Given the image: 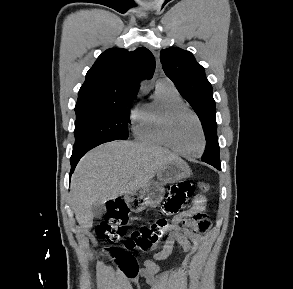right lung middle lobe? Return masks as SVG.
I'll list each match as a JSON object with an SVG mask.
<instances>
[{
    "instance_id": "obj_1",
    "label": "right lung middle lobe",
    "mask_w": 293,
    "mask_h": 289,
    "mask_svg": "<svg viewBox=\"0 0 293 289\" xmlns=\"http://www.w3.org/2000/svg\"><path fill=\"white\" fill-rule=\"evenodd\" d=\"M134 97L77 102L73 151L90 150L105 142L127 139L130 116L126 108Z\"/></svg>"
}]
</instances>
